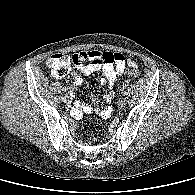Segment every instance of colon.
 <instances>
[{"instance_id":"obj_1","label":"colon","mask_w":195,"mask_h":195,"mask_svg":"<svg viewBox=\"0 0 195 195\" xmlns=\"http://www.w3.org/2000/svg\"><path fill=\"white\" fill-rule=\"evenodd\" d=\"M71 63V56L61 53L53 54L47 59V66L51 69L53 75L58 78L65 77L69 74ZM126 72L131 77H139V71L136 65H127Z\"/></svg>"}]
</instances>
